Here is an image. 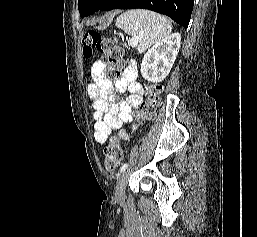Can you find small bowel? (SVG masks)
Returning a JSON list of instances; mask_svg holds the SVG:
<instances>
[{
  "instance_id": "small-bowel-1",
  "label": "small bowel",
  "mask_w": 257,
  "mask_h": 237,
  "mask_svg": "<svg viewBox=\"0 0 257 237\" xmlns=\"http://www.w3.org/2000/svg\"><path fill=\"white\" fill-rule=\"evenodd\" d=\"M106 69L105 62H94L91 71L93 82L87 87L94 109V137L101 144L108 140L114 130L133 121L134 109L144 99V91L136 81L137 73L133 66L128 67L114 83L106 77ZM125 91L130 95L125 100L117 101L118 95Z\"/></svg>"
}]
</instances>
